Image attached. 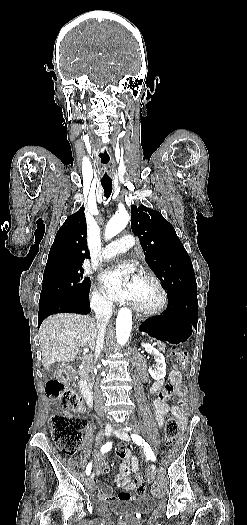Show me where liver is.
<instances>
[{"label": "liver", "mask_w": 247, "mask_h": 525, "mask_svg": "<svg viewBox=\"0 0 247 525\" xmlns=\"http://www.w3.org/2000/svg\"><path fill=\"white\" fill-rule=\"evenodd\" d=\"M96 335V319L89 315L57 313L44 319L39 337L45 371L56 363L75 361L81 347L94 351Z\"/></svg>", "instance_id": "1"}]
</instances>
